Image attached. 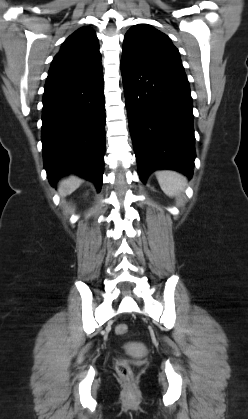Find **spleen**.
I'll return each mask as SVG.
<instances>
[{
	"instance_id": "spleen-1",
	"label": "spleen",
	"mask_w": 248,
	"mask_h": 419,
	"mask_svg": "<svg viewBox=\"0 0 248 419\" xmlns=\"http://www.w3.org/2000/svg\"><path fill=\"white\" fill-rule=\"evenodd\" d=\"M156 176L161 189L169 197L178 196L186 186V178L177 172L164 170L157 172Z\"/></svg>"
}]
</instances>
